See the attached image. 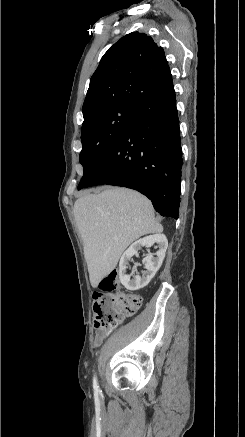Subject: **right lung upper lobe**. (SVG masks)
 Here are the masks:
<instances>
[{"mask_svg":"<svg viewBox=\"0 0 245 437\" xmlns=\"http://www.w3.org/2000/svg\"><path fill=\"white\" fill-rule=\"evenodd\" d=\"M173 92L172 75L163 48L150 36L132 32L103 55L90 79L82 107L83 117L108 104L139 105Z\"/></svg>","mask_w":245,"mask_h":437,"instance_id":"1","label":"right lung upper lobe"}]
</instances>
